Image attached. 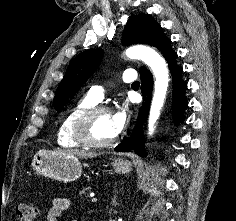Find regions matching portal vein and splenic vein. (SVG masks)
Here are the masks:
<instances>
[{"label": "portal vein and splenic vein", "instance_id": "portal-vein-and-splenic-vein-1", "mask_svg": "<svg viewBox=\"0 0 236 221\" xmlns=\"http://www.w3.org/2000/svg\"><path fill=\"white\" fill-rule=\"evenodd\" d=\"M97 200H98V199H97L96 197H92V198H91V202H97Z\"/></svg>", "mask_w": 236, "mask_h": 221}]
</instances>
